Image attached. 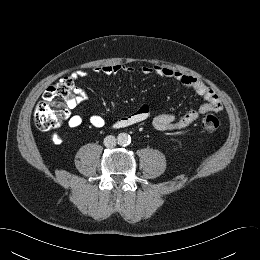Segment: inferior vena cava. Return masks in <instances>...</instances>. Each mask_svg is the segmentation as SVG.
Wrapping results in <instances>:
<instances>
[{
    "label": "inferior vena cava",
    "mask_w": 260,
    "mask_h": 260,
    "mask_svg": "<svg viewBox=\"0 0 260 260\" xmlns=\"http://www.w3.org/2000/svg\"><path fill=\"white\" fill-rule=\"evenodd\" d=\"M116 138L112 135H108L104 138V145L108 148H113L116 146Z\"/></svg>",
    "instance_id": "obj_1"
}]
</instances>
